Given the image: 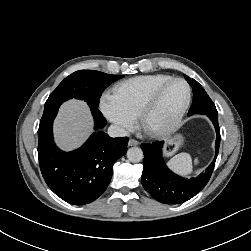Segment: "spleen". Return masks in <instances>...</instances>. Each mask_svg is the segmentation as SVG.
I'll use <instances>...</instances> for the list:
<instances>
[{"label": "spleen", "mask_w": 251, "mask_h": 251, "mask_svg": "<svg viewBox=\"0 0 251 251\" xmlns=\"http://www.w3.org/2000/svg\"><path fill=\"white\" fill-rule=\"evenodd\" d=\"M195 164L198 163V159L194 160ZM168 166L180 175H189L192 173L193 165L191 156L188 153H180L173 156L168 161Z\"/></svg>", "instance_id": "1"}]
</instances>
